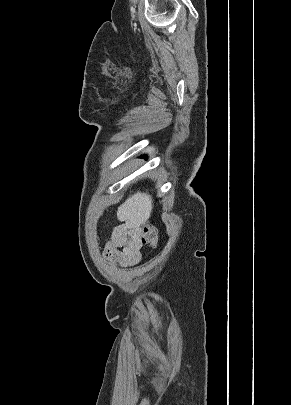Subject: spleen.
I'll return each mask as SVG.
<instances>
[{"instance_id":"1","label":"spleen","mask_w":291,"mask_h":405,"mask_svg":"<svg viewBox=\"0 0 291 405\" xmlns=\"http://www.w3.org/2000/svg\"><path fill=\"white\" fill-rule=\"evenodd\" d=\"M151 211V196L144 192H137L119 207L118 217L121 220H136L139 223H144L150 217Z\"/></svg>"}]
</instances>
